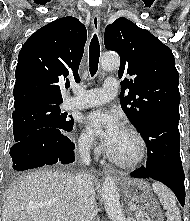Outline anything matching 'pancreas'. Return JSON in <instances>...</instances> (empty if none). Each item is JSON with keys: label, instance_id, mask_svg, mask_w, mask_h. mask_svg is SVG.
Here are the masks:
<instances>
[{"label": "pancreas", "instance_id": "obj_1", "mask_svg": "<svg viewBox=\"0 0 190 221\" xmlns=\"http://www.w3.org/2000/svg\"><path fill=\"white\" fill-rule=\"evenodd\" d=\"M134 216L136 218V221H150L147 218V213L140 207H138V209L135 210Z\"/></svg>", "mask_w": 190, "mask_h": 221}]
</instances>
